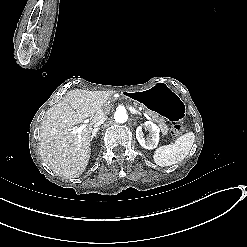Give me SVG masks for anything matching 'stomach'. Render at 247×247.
I'll return each mask as SVG.
<instances>
[{"mask_svg": "<svg viewBox=\"0 0 247 247\" xmlns=\"http://www.w3.org/2000/svg\"><path fill=\"white\" fill-rule=\"evenodd\" d=\"M146 109L160 115L167 121H182L186 104L172 89L163 83L127 94Z\"/></svg>", "mask_w": 247, "mask_h": 247, "instance_id": "1", "label": "stomach"}]
</instances>
